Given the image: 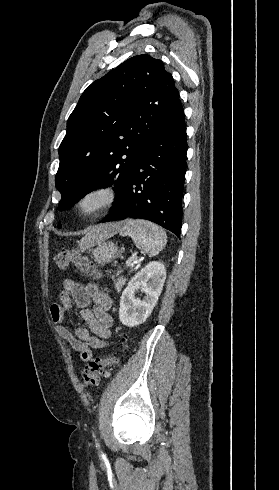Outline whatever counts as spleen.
Returning a JSON list of instances; mask_svg holds the SVG:
<instances>
[{"label":"spleen","instance_id":"3e777b00","mask_svg":"<svg viewBox=\"0 0 279 490\" xmlns=\"http://www.w3.org/2000/svg\"><path fill=\"white\" fill-rule=\"evenodd\" d=\"M120 236H130L136 248L144 250L150 258L157 256L167 244L166 232L147 220H125Z\"/></svg>","mask_w":279,"mask_h":490}]
</instances>
